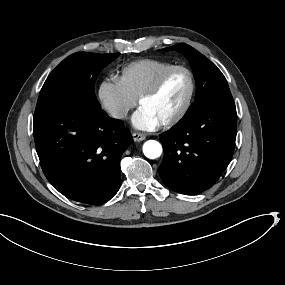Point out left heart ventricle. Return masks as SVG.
Instances as JSON below:
<instances>
[{
	"mask_svg": "<svg viewBox=\"0 0 285 285\" xmlns=\"http://www.w3.org/2000/svg\"><path fill=\"white\" fill-rule=\"evenodd\" d=\"M187 92L186 77L182 74H176L156 95L146 100L142 105L162 120L181 108Z\"/></svg>",
	"mask_w": 285,
	"mask_h": 285,
	"instance_id": "obj_1",
	"label": "left heart ventricle"
}]
</instances>
